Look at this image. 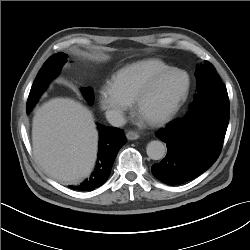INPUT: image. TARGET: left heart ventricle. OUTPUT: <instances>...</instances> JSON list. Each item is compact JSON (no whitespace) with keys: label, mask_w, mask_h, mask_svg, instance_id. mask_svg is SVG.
<instances>
[{"label":"left heart ventricle","mask_w":250,"mask_h":250,"mask_svg":"<svg viewBox=\"0 0 250 250\" xmlns=\"http://www.w3.org/2000/svg\"><path fill=\"white\" fill-rule=\"evenodd\" d=\"M185 85L186 77L182 73H174L161 80L141 105L139 112L142 117L150 120L163 114L182 94Z\"/></svg>","instance_id":"left-heart-ventricle-1"}]
</instances>
